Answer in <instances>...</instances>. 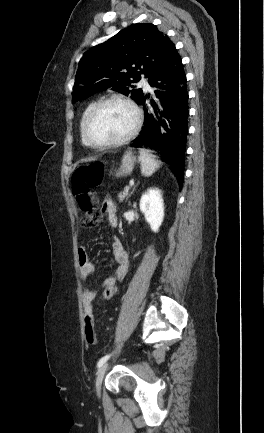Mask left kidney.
<instances>
[{"mask_svg": "<svg viewBox=\"0 0 264 433\" xmlns=\"http://www.w3.org/2000/svg\"><path fill=\"white\" fill-rule=\"evenodd\" d=\"M140 210L153 232H158L164 219V202L158 188L148 189L141 197Z\"/></svg>", "mask_w": 264, "mask_h": 433, "instance_id": "obj_1", "label": "left kidney"}]
</instances>
